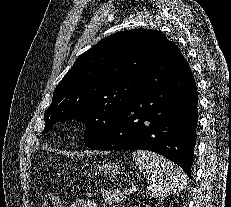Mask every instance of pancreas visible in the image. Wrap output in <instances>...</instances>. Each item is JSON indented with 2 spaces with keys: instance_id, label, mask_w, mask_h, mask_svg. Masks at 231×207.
Instances as JSON below:
<instances>
[{
  "instance_id": "pancreas-1",
  "label": "pancreas",
  "mask_w": 231,
  "mask_h": 207,
  "mask_svg": "<svg viewBox=\"0 0 231 207\" xmlns=\"http://www.w3.org/2000/svg\"><path fill=\"white\" fill-rule=\"evenodd\" d=\"M101 195L109 205H114L121 202L124 198V193L119 190H101Z\"/></svg>"
}]
</instances>
